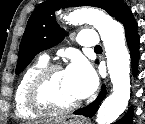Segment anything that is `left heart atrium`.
<instances>
[{
	"label": "left heart atrium",
	"instance_id": "1",
	"mask_svg": "<svg viewBox=\"0 0 145 124\" xmlns=\"http://www.w3.org/2000/svg\"><path fill=\"white\" fill-rule=\"evenodd\" d=\"M65 72L78 99L86 98L95 91L97 76L84 59L74 58Z\"/></svg>",
	"mask_w": 145,
	"mask_h": 124
}]
</instances>
